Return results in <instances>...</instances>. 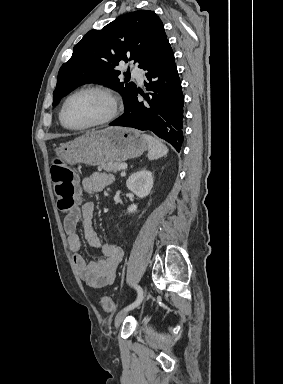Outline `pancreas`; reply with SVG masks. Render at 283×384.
I'll use <instances>...</instances> for the list:
<instances>
[{"mask_svg":"<svg viewBox=\"0 0 283 384\" xmlns=\"http://www.w3.org/2000/svg\"><path fill=\"white\" fill-rule=\"evenodd\" d=\"M120 164H123V162H108V164H102L101 168L106 170V172H113V174H116V172L121 170Z\"/></svg>","mask_w":283,"mask_h":384,"instance_id":"cf45deb5","label":"pancreas"}]
</instances>
